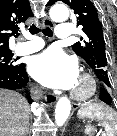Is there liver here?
I'll use <instances>...</instances> for the list:
<instances>
[{
    "mask_svg": "<svg viewBox=\"0 0 117 136\" xmlns=\"http://www.w3.org/2000/svg\"><path fill=\"white\" fill-rule=\"evenodd\" d=\"M30 106L17 92L0 89V136H25Z\"/></svg>",
    "mask_w": 117,
    "mask_h": 136,
    "instance_id": "liver-1",
    "label": "liver"
}]
</instances>
